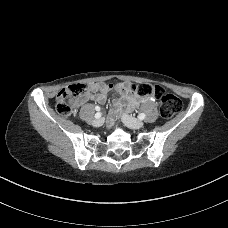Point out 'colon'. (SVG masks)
Masks as SVG:
<instances>
[{
  "label": "colon",
  "mask_w": 228,
  "mask_h": 228,
  "mask_svg": "<svg viewBox=\"0 0 228 228\" xmlns=\"http://www.w3.org/2000/svg\"><path fill=\"white\" fill-rule=\"evenodd\" d=\"M85 90L84 84L77 83L59 91L56 96L57 112L62 116L70 115ZM130 90L141 97L158 96L160 98V113L166 119L172 118L182 108V102L177 96L162 91L158 86L147 83L131 84Z\"/></svg>",
  "instance_id": "obj_1"
}]
</instances>
